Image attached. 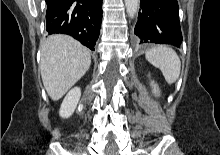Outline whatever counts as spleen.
<instances>
[{
	"label": "spleen",
	"mask_w": 220,
	"mask_h": 155,
	"mask_svg": "<svg viewBox=\"0 0 220 155\" xmlns=\"http://www.w3.org/2000/svg\"><path fill=\"white\" fill-rule=\"evenodd\" d=\"M146 59L159 68L168 84L176 82L180 75L181 61L177 53L166 45H158L146 52Z\"/></svg>",
	"instance_id": "spleen-1"
}]
</instances>
